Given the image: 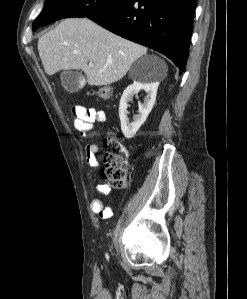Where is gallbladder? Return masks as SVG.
Instances as JSON below:
<instances>
[{"label":"gallbladder","mask_w":247,"mask_h":299,"mask_svg":"<svg viewBox=\"0 0 247 299\" xmlns=\"http://www.w3.org/2000/svg\"><path fill=\"white\" fill-rule=\"evenodd\" d=\"M61 84L69 93H75L80 90L85 84V78L79 71H63L60 74Z\"/></svg>","instance_id":"1"}]
</instances>
